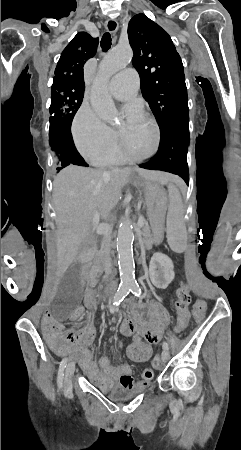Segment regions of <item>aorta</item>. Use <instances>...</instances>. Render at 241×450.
<instances>
[{"instance_id": "aorta-1", "label": "aorta", "mask_w": 241, "mask_h": 450, "mask_svg": "<svg viewBox=\"0 0 241 450\" xmlns=\"http://www.w3.org/2000/svg\"><path fill=\"white\" fill-rule=\"evenodd\" d=\"M132 57L133 52L129 46H117L100 64L93 83L90 102L96 114L105 122L113 123L117 118V109L107 91V83L112 75L130 63ZM133 241V226L127 217L120 223L116 240L121 284L125 287H133L136 284Z\"/></svg>"}]
</instances>
